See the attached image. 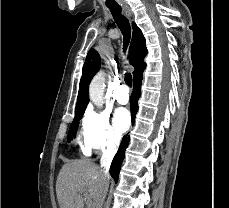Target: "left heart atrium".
<instances>
[{
    "label": "left heart atrium",
    "mask_w": 229,
    "mask_h": 208,
    "mask_svg": "<svg viewBox=\"0 0 229 208\" xmlns=\"http://www.w3.org/2000/svg\"><path fill=\"white\" fill-rule=\"evenodd\" d=\"M114 125L119 133H123L129 128L130 116L126 109L121 108L115 112Z\"/></svg>",
    "instance_id": "39dd6f15"
}]
</instances>
